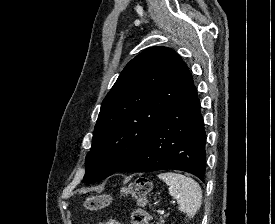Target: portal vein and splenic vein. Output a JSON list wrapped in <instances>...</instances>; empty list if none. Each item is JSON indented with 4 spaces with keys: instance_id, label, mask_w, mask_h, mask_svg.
Wrapping results in <instances>:
<instances>
[{
    "instance_id": "portal-vein-and-splenic-vein-1",
    "label": "portal vein and splenic vein",
    "mask_w": 275,
    "mask_h": 224,
    "mask_svg": "<svg viewBox=\"0 0 275 224\" xmlns=\"http://www.w3.org/2000/svg\"><path fill=\"white\" fill-rule=\"evenodd\" d=\"M160 213H161V214H164V211H163V210H161V211H160Z\"/></svg>"
}]
</instances>
